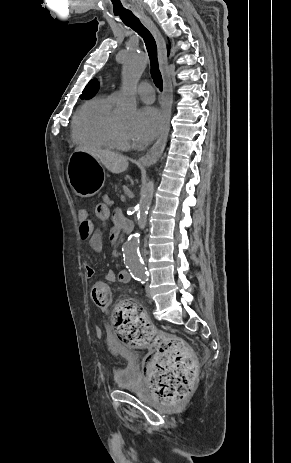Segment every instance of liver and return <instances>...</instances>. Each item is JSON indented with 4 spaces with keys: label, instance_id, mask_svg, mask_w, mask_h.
<instances>
[{
    "label": "liver",
    "instance_id": "6515ba94",
    "mask_svg": "<svg viewBox=\"0 0 291 463\" xmlns=\"http://www.w3.org/2000/svg\"><path fill=\"white\" fill-rule=\"evenodd\" d=\"M75 151H84L89 153L99 160L112 173L124 172L129 165L126 157L112 151L89 147H77Z\"/></svg>",
    "mask_w": 291,
    "mask_h": 463
}]
</instances>
